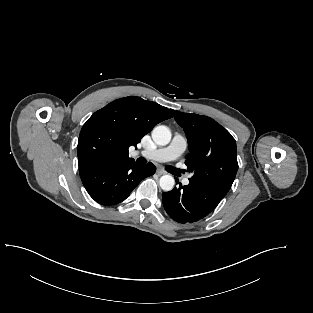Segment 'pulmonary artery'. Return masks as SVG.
Masks as SVG:
<instances>
[{"label": "pulmonary artery", "mask_w": 313, "mask_h": 313, "mask_svg": "<svg viewBox=\"0 0 313 313\" xmlns=\"http://www.w3.org/2000/svg\"><path fill=\"white\" fill-rule=\"evenodd\" d=\"M186 147V139L180 134H175L168 146L151 151H143L142 154L149 159L159 162L171 161L180 157L186 150ZM182 182L184 185H188L190 179L186 177Z\"/></svg>", "instance_id": "obj_1"}]
</instances>
